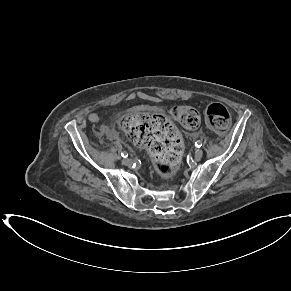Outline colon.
Instances as JSON below:
<instances>
[{
	"label": "colon",
	"instance_id": "obj_1",
	"mask_svg": "<svg viewBox=\"0 0 291 291\" xmlns=\"http://www.w3.org/2000/svg\"><path fill=\"white\" fill-rule=\"evenodd\" d=\"M204 114L206 123L215 131L223 132L230 126V113L222 104H209ZM172 115L189 129H195L200 124L199 113L187 105L175 106ZM120 125L137 145L151 152L161 177L167 179L174 175L181 159L183 144L176 128L166 117L138 112L123 117Z\"/></svg>",
	"mask_w": 291,
	"mask_h": 291
}]
</instances>
